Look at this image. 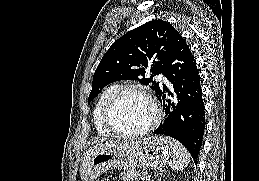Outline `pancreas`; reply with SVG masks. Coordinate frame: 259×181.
<instances>
[{
    "instance_id": "1",
    "label": "pancreas",
    "mask_w": 259,
    "mask_h": 181,
    "mask_svg": "<svg viewBox=\"0 0 259 181\" xmlns=\"http://www.w3.org/2000/svg\"><path fill=\"white\" fill-rule=\"evenodd\" d=\"M139 172L135 170H128L126 172H121L120 177L123 181H136L138 179Z\"/></svg>"
}]
</instances>
